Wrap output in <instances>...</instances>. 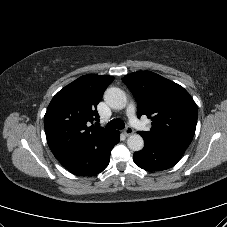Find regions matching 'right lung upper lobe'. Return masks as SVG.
<instances>
[{
    "label": "right lung upper lobe",
    "mask_w": 227,
    "mask_h": 227,
    "mask_svg": "<svg viewBox=\"0 0 227 227\" xmlns=\"http://www.w3.org/2000/svg\"><path fill=\"white\" fill-rule=\"evenodd\" d=\"M113 80L108 75H84L53 97L44 116V127L54 155L78 149L114 131L89 126L99 121L96 106Z\"/></svg>",
    "instance_id": "1"
}]
</instances>
